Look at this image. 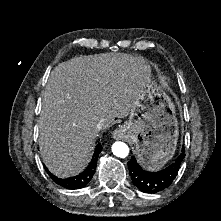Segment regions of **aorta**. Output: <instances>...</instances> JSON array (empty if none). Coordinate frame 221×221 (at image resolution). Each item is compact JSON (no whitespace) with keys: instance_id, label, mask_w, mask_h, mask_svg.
Here are the masks:
<instances>
[{"instance_id":"762f6f07","label":"aorta","mask_w":221,"mask_h":221,"mask_svg":"<svg viewBox=\"0 0 221 221\" xmlns=\"http://www.w3.org/2000/svg\"><path fill=\"white\" fill-rule=\"evenodd\" d=\"M112 152L115 156L125 158L129 154V147L121 141H117L112 145Z\"/></svg>"}]
</instances>
